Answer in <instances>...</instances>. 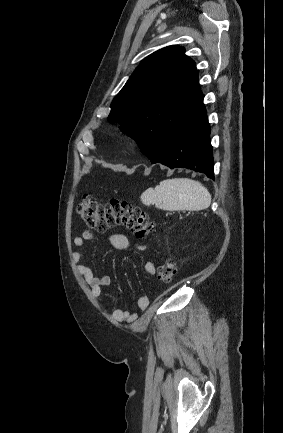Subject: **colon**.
Listing matches in <instances>:
<instances>
[{"mask_svg":"<svg viewBox=\"0 0 283 433\" xmlns=\"http://www.w3.org/2000/svg\"><path fill=\"white\" fill-rule=\"evenodd\" d=\"M76 212L85 225L99 232L122 225L131 230L137 238H144L154 227L146 212L124 200L112 199L106 203H99L86 195L78 204ZM176 273V263L168 259L160 265L157 277L160 281L168 283Z\"/></svg>","mask_w":283,"mask_h":433,"instance_id":"1","label":"colon"}]
</instances>
